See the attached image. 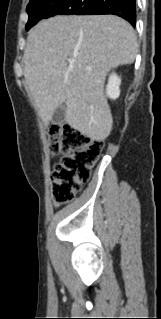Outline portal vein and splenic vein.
Returning <instances> with one entry per match:
<instances>
[{
  "mask_svg": "<svg viewBox=\"0 0 161 319\" xmlns=\"http://www.w3.org/2000/svg\"><path fill=\"white\" fill-rule=\"evenodd\" d=\"M68 61L70 64H73L75 62V59H69Z\"/></svg>",
  "mask_w": 161,
  "mask_h": 319,
  "instance_id": "portal-vein-and-splenic-vein-1",
  "label": "portal vein and splenic vein"
}]
</instances>
